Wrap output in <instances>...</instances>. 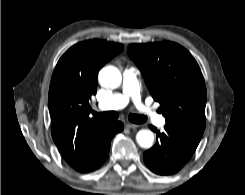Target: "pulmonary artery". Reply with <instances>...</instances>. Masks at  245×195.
I'll use <instances>...</instances> for the list:
<instances>
[{"mask_svg": "<svg viewBox=\"0 0 245 195\" xmlns=\"http://www.w3.org/2000/svg\"><path fill=\"white\" fill-rule=\"evenodd\" d=\"M129 101H132L141 114L156 125L163 126L165 124V119L162 116L156 114L141 101L137 72L134 68L124 70L122 92L115 93L108 99L101 101L97 107L100 110H116L125 107Z\"/></svg>", "mask_w": 245, "mask_h": 195, "instance_id": "1", "label": "pulmonary artery"}]
</instances>
